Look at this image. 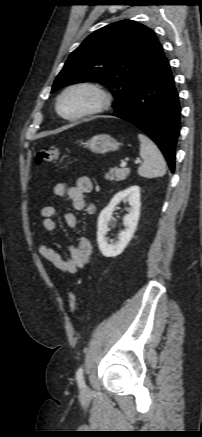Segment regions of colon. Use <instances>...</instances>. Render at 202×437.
<instances>
[{
  "mask_svg": "<svg viewBox=\"0 0 202 437\" xmlns=\"http://www.w3.org/2000/svg\"><path fill=\"white\" fill-rule=\"evenodd\" d=\"M59 157V149L57 147L41 148L36 153V163L53 162ZM68 305L71 312H75L78 306V297L75 293H70Z\"/></svg>",
  "mask_w": 202,
  "mask_h": 437,
  "instance_id": "1",
  "label": "colon"
}]
</instances>
